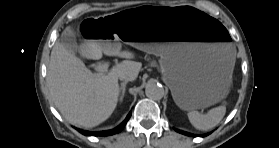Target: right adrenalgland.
Listing matches in <instances>:
<instances>
[{
  "label": "right adrenal gland",
  "instance_id": "right-adrenal-gland-1",
  "mask_svg": "<svg viewBox=\"0 0 279 148\" xmlns=\"http://www.w3.org/2000/svg\"><path fill=\"white\" fill-rule=\"evenodd\" d=\"M126 84L127 82H122L121 83V87L119 88V92H120V99L119 101L122 102L123 101V98H124V95H125V90H126Z\"/></svg>",
  "mask_w": 279,
  "mask_h": 148
}]
</instances>
